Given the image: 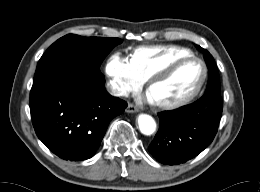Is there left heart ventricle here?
<instances>
[{
	"label": "left heart ventricle",
	"mask_w": 260,
	"mask_h": 192,
	"mask_svg": "<svg viewBox=\"0 0 260 192\" xmlns=\"http://www.w3.org/2000/svg\"><path fill=\"white\" fill-rule=\"evenodd\" d=\"M199 76L200 66L197 63H185L171 75L155 83L151 89V95L160 101L179 98L196 85Z\"/></svg>",
	"instance_id": "left-heart-ventricle-1"
}]
</instances>
